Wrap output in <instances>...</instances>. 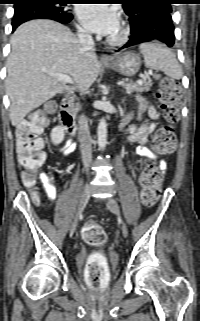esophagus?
I'll use <instances>...</instances> for the list:
<instances>
[{"instance_id":"obj_1","label":"esophagus","mask_w":200,"mask_h":321,"mask_svg":"<svg viewBox=\"0 0 200 321\" xmlns=\"http://www.w3.org/2000/svg\"><path fill=\"white\" fill-rule=\"evenodd\" d=\"M100 60L102 62H109V61H111V58L107 54H102L101 57H100Z\"/></svg>"}]
</instances>
